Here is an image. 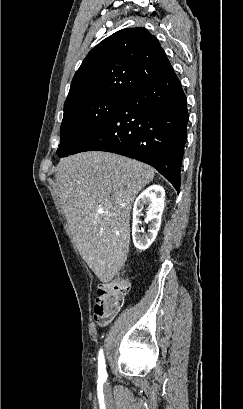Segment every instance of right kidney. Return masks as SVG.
Segmentation results:
<instances>
[{
    "mask_svg": "<svg viewBox=\"0 0 243 409\" xmlns=\"http://www.w3.org/2000/svg\"><path fill=\"white\" fill-rule=\"evenodd\" d=\"M165 191L159 185L146 188L135 200L133 206L132 238L134 246L146 250L155 240L161 224L164 209ZM144 205H148L146 221L149 222L148 233L140 235V215Z\"/></svg>",
    "mask_w": 243,
    "mask_h": 409,
    "instance_id": "right-kidney-1",
    "label": "right kidney"
}]
</instances>
